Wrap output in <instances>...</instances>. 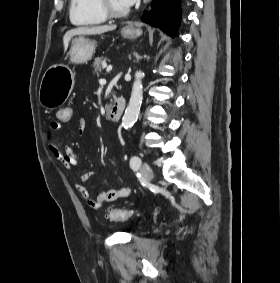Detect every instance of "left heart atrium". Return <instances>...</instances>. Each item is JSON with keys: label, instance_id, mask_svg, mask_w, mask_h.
I'll list each match as a JSON object with an SVG mask.
<instances>
[{"label": "left heart atrium", "instance_id": "1", "mask_svg": "<svg viewBox=\"0 0 280 283\" xmlns=\"http://www.w3.org/2000/svg\"><path fill=\"white\" fill-rule=\"evenodd\" d=\"M123 2H124L128 7H130V6H132V5L136 2V0H123Z\"/></svg>", "mask_w": 280, "mask_h": 283}]
</instances>
